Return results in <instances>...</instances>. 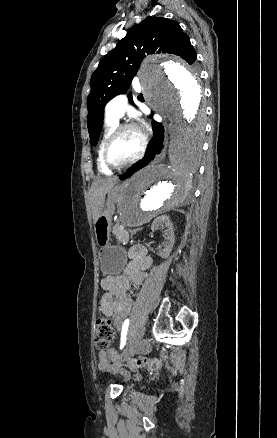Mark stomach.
<instances>
[{
  "mask_svg": "<svg viewBox=\"0 0 277 438\" xmlns=\"http://www.w3.org/2000/svg\"><path fill=\"white\" fill-rule=\"evenodd\" d=\"M120 193L121 189L118 186L113 187L107 192V201L94 226L96 240L100 245L99 259L101 270L105 275L120 273L126 264L125 250L119 246H112L109 243L114 204L120 197Z\"/></svg>",
  "mask_w": 277,
  "mask_h": 438,
  "instance_id": "0dacf381",
  "label": "stomach"
}]
</instances>
